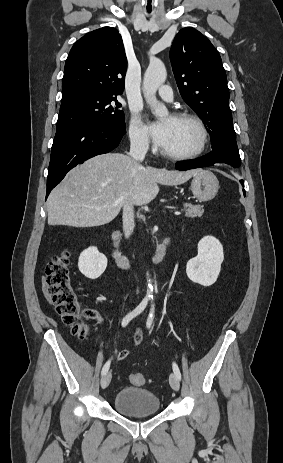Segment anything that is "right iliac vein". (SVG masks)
<instances>
[{
    "label": "right iliac vein",
    "mask_w": 283,
    "mask_h": 463,
    "mask_svg": "<svg viewBox=\"0 0 283 463\" xmlns=\"http://www.w3.org/2000/svg\"><path fill=\"white\" fill-rule=\"evenodd\" d=\"M111 378H112V375H111V372H106L102 379H101V387L104 389L106 387H108V385L110 384L111 382Z\"/></svg>",
    "instance_id": "1"
}]
</instances>
